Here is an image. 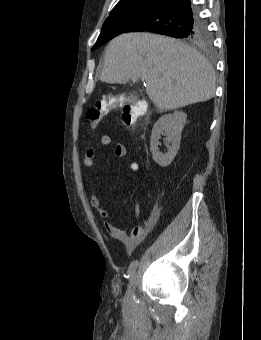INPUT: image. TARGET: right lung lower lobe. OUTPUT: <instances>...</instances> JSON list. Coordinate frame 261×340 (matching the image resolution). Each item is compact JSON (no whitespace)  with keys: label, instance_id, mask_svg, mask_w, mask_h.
<instances>
[{"label":"right lung lower lobe","instance_id":"obj_1","mask_svg":"<svg viewBox=\"0 0 261 340\" xmlns=\"http://www.w3.org/2000/svg\"><path fill=\"white\" fill-rule=\"evenodd\" d=\"M199 20L197 9L190 0H161L125 32L149 31L176 37Z\"/></svg>","mask_w":261,"mask_h":340}]
</instances>
